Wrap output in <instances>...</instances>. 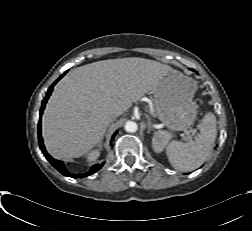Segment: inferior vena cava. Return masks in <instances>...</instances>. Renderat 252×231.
<instances>
[{"label":"inferior vena cava","instance_id":"1","mask_svg":"<svg viewBox=\"0 0 252 231\" xmlns=\"http://www.w3.org/2000/svg\"><path fill=\"white\" fill-rule=\"evenodd\" d=\"M117 118L116 114H111L108 116L107 121L110 123L112 121H114Z\"/></svg>","mask_w":252,"mask_h":231}]
</instances>
